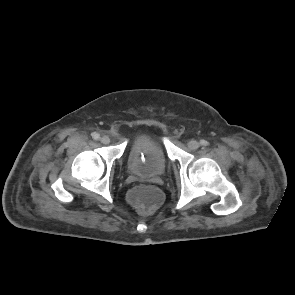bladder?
<instances>
[{
    "label": "bladder",
    "mask_w": 295,
    "mask_h": 295,
    "mask_svg": "<svg viewBox=\"0 0 295 295\" xmlns=\"http://www.w3.org/2000/svg\"><path fill=\"white\" fill-rule=\"evenodd\" d=\"M126 164L131 173L154 178L166 172L169 159L159 139L146 137L131 145L126 155Z\"/></svg>",
    "instance_id": "bladder-1"
}]
</instances>
